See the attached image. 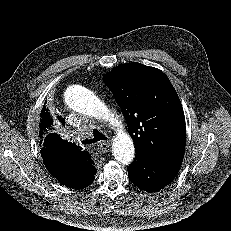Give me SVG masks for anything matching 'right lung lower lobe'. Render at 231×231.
I'll list each match as a JSON object with an SVG mask.
<instances>
[{
	"label": "right lung lower lobe",
	"instance_id": "1",
	"mask_svg": "<svg viewBox=\"0 0 231 231\" xmlns=\"http://www.w3.org/2000/svg\"><path fill=\"white\" fill-rule=\"evenodd\" d=\"M85 161L91 164L90 177L87 180L88 185H90L95 178L94 175L96 174V168L93 166L94 162L91 160L90 155Z\"/></svg>",
	"mask_w": 231,
	"mask_h": 231
}]
</instances>
